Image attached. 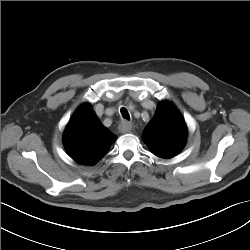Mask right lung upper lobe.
Listing matches in <instances>:
<instances>
[{
    "instance_id": "right-lung-upper-lobe-1",
    "label": "right lung upper lobe",
    "mask_w": 250,
    "mask_h": 250,
    "mask_svg": "<svg viewBox=\"0 0 250 250\" xmlns=\"http://www.w3.org/2000/svg\"><path fill=\"white\" fill-rule=\"evenodd\" d=\"M115 140L116 136L90 111L89 104H83L77 109L64 134V145L68 154L84 165L99 161Z\"/></svg>"
}]
</instances>
